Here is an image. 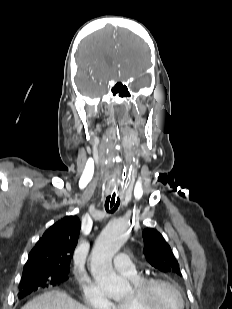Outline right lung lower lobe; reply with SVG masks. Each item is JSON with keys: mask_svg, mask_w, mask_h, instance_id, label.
I'll return each instance as SVG.
<instances>
[{"mask_svg": "<svg viewBox=\"0 0 232 309\" xmlns=\"http://www.w3.org/2000/svg\"><path fill=\"white\" fill-rule=\"evenodd\" d=\"M38 288H34L31 286H25L23 288H21L19 290V298H24L25 296L29 295L30 293H32L33 291L37 290Z\"/></svg>", "mask_w": 232, "mask_h": 309, "instance_id": "right-lung-lower-lobe-1", "label": "right lung lower lobe"}]
</instances>
